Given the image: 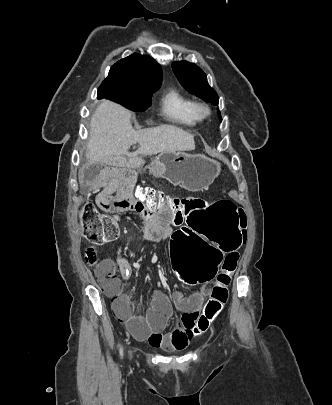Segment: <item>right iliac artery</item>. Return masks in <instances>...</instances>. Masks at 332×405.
I'll use <instances>...</instances> for the list:
<instances>
[{
  "label": "right iliac artery",
  "mask_w": 332,
  "mask_h": 405,
  "mask_svg": "<svg viewBox=\"0 0 332 405\" xmlns=\"http://www.w3.org/2000/svg\"><path fill=\"white\" fill-rule=\"evenodd\" d=\"M120 354L123 355V350L122 349L120 350Z\"/></svg>",
  "instance_id": "1"
}]
</instances>
